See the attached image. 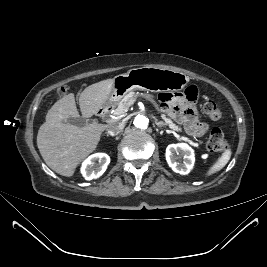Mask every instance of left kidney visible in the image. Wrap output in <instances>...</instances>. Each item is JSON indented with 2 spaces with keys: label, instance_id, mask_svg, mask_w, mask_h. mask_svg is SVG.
I'll return each mask as SVG.
<instances>
[{
  "label": "left kidney",
  "instance_id": "obj_1",
  "mask_svg": "<svg viewBox=\"0 0 267 267\" xmlns=\"http://www.w3.org/2000/svg\"><path fill=\"white\" fill-rule=\"evenodd\" d=\"M178 155L183 157V163H179ZM166 161L174 172L186 175L194 166V151L186 143L170 144L166 148Z\"/></svg>",
  "mask_w": 267,
  "mask_h": 267
}]
</instances>
